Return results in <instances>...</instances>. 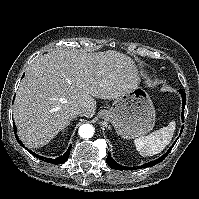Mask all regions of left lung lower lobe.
Here are the masks:
<instances>
[{"label":"left lung lower lobe","mask_w":199,"mask_h":199,"mask_svg":"<svg viewBox=\"0 0 199 199\" xmlns=\"http://www.w3.org/2000/svg\"><path fill=\"white\" fill-rule=\"evenodd\" d=\"M180 94H181L182 99H183V102H182V108H183L182 120L184 121V107H185V104H186V94L182 90L180 91ZM182 130H183V127L181 129V133H182ZM176 141L174 142V144L176 143ZM174 144L170 147V149L163 156L159 157L156 160L150 161V162H148V163H146L144 165L138 166V167H125V166H122V165L118 164L117 162H115L113 160V158L111 157L110 153L108 154V156L106 158V162L111 168L116 169V170H137V169H142V168H146V167H152V166L160 163L168 155V153L171 151V149L174 146Z\"/></svg>","instance_id":"obj_1"}]
</instances>
